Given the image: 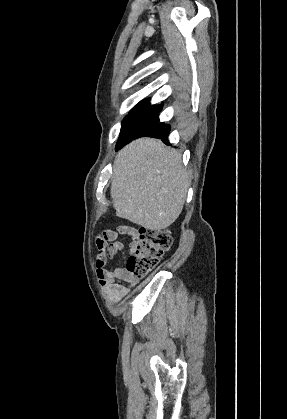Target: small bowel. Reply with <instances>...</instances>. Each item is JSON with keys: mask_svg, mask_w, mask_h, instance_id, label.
I'll use <instances>...</instances> for the list:
<instances>
[{"mask_svg": "<svg viewBox=\"0 0 287 419\" xmlns=\"http://www.w3.org/2000/svg\"><path fill=\"white\" fill-rule=\"evenodd\" d=\"M136 234V229L132 227L119 226L116 230L104 232L103 236L97 241L95 258L97 277L113 302H119L130 292V285L135 282V276L124 268L108 270L106 264L123 248L119 237L133 239Z\"/></svg>", "mask_w": 287, "mask_h": 419, "instance_id": "small-bowel-1", "label": "small bowel"}]
</instances>
